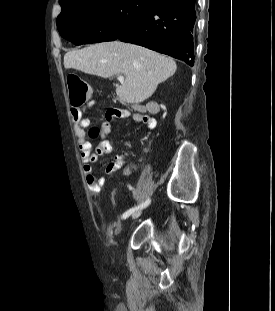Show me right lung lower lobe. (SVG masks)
<instances>
[{
	"mask_svg": "<svg viewBox=\"0 0 275 311\" xmlns=\"http://www.w3.org/2000/svg\"><path fill=\"white\" fill-rule=\"evenodd\" d=\"M195 0H159L134 19L116 39L194 65Z\"/></svg>",
	"mask_w": 275,
	"mask_h": 311,
	"instance_id": "1",
	"label": "right lung lower lobe"
}]
</instances>
